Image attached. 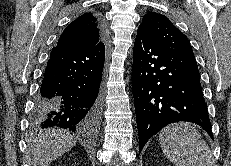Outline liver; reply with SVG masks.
Returning a JSON list of instances; mask_svg holds the SVG:
<instances>
[{"mask_svg":"<svg viewBox=\"0 0 231 166\" xmlns=\"http://www.w3.org/2000/svg\"><path fill=\"white\" fill-rule=\"evenodd\" d=\"M76 143L75 138L62 129H47L38 136L29 137L33 166H48L59 156L69 151Z\"/></svg>","mask_w":231,"mask_h":166,"instance_id":"obj_1","label":"liver"}]
</instances>
